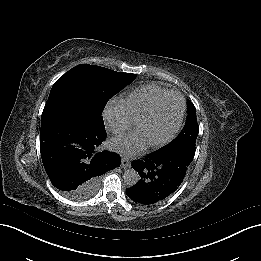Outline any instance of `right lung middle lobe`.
Returning a JSON list of instances; mask_svg holds the SVG:
<instances>
[{"label": "right lung middle lobe", "instance_id": "dd1d6c3e", "mask_svg": "<svg viewBox=\"0 0 261 261\" xmlns=\"http://www.w3.org/2000/svg\"><path fill=\"white\" fill-rule=\"evenodd\" d=\"M135 78L136 75L131 73L116 72L95 65H77L55 82L47 102H65L101 117L107 101ZM97 187L98 180L84 186L79 194Z\"/></svg>", "mask_w": 261, "mask_h": 261}]
</instances>
